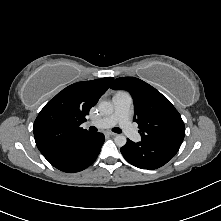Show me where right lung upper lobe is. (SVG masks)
Segmentation results:
<instances>
[{"mask_svg":"<svg viewBox=\"0 0 221 221\" xmlns=\"http://www.w3.org/2000/svg\"><path fill=\"white\" fill-rule=\"evenodd\" d=\"M112 80L106 77L74 83L44 106L34 122L33 132L36 145L45 158L51 157L63 143L88 134L80 125Z\"/></svg>","mask_w":221,"mask_h":221,"instance_id":"obj_1","label":"right lung upper lobe"}]
</instances>
